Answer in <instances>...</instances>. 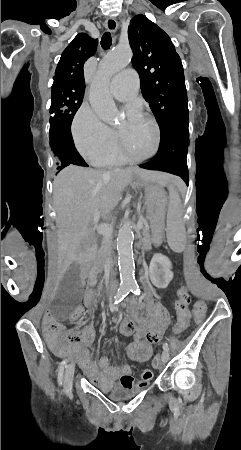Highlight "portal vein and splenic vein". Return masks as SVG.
I'll return each mask as SVG.
<instances>
[{
  "label": "portal vein and splenic vein",
  "instance_id": "18ae733b",
  "mask_svg": "<svg viewBox=\"0 0 241 450\" xmlns=\"http://www.w3.org/2000/svg\"><path fill=\"white\" fill-rule=\"evenodd\" d=\"M137 231H142V226L146 224V221L142 219V221H137ZM95 230H97L98 234H102L104 238H111L113 234V224H94Z\"/></svg>",
  "mask_w": 241,
  "mask_h": 450
}]
</instances>
